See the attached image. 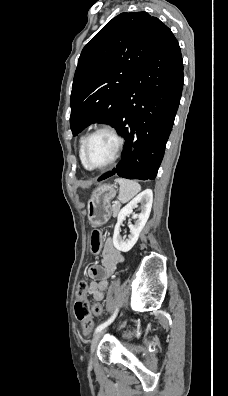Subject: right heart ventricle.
Here are the masks:
<instances>
[{"label": "right heart ventricle", "instance_id": "right-heart-ventricle-1", "mask_svg": "<svg viewBox=\"0 0 228 396\" xmlns=\"http://www.w3.org/2000/svg\"><path fill=\"white\" fill-rule=\"evenodd\" d=\"M85 138H86L85 136H82V137L80 138V140H79V158H80V161H81L82 166H83L85 169H88V168L86 167L85 163H84V160H83V144H84Z\"/></svg>", "mask_w": 228, "mask_h": 396}]
</instances>
